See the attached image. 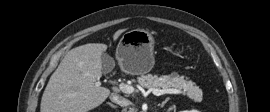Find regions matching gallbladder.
Listing matches in <instances>:
<instances>
[{
  "instance_id": "obj_1",
  "label": "gallbladder",
  "mask_w": 270,
  "mask_h": 112,
  "mask_svg": "<svg viewBox=\"0 0 270 112\" xmlns=\"http://www.w3.org/2000/svg\"><path fill=\"white\" fill-rule=\"evenodd\" d=\"M103 71L108 73L111 72L114 66V61L107 53H103L101 56Z\"/></svg>"
}]
</instances>
